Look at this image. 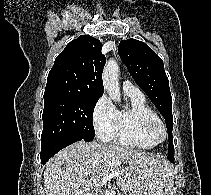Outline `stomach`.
I'll list each match as a JSON object with an SVG mask.
<instances>
[{"instance_id":"stomach-1","label":"stomach","mask_w":211,"mask_h":195,"mask_svg":"<svg viewBox=\"0 0 211 195\" xmlns=\"http://www.w3.org/2000/svg\"><path fill=\"white\" fill-rule=\"evenodd\" d=\"M132 195H135V194H132ZM168 195H173L172 193H169Z\"/></svg>"}]
</instances>
